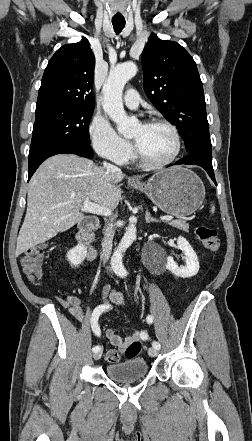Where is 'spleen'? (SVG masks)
Listing matches in <instances>:
<instances>
[{"instance_id": "3e777b00", "label": "spleen", "mask_w": 252, "mask_h": 441, "mask_svg": "<svg viewBox=\"0 0 252 441\" xmlns=\"http://www.w3.org/2000/svg\"><path fill=\"white\" fill-rule=\"evenodd\" d=\"M214 211H215V207H214V205H212L211 212L214 213Z\"/></svg>"}]
</instances>
